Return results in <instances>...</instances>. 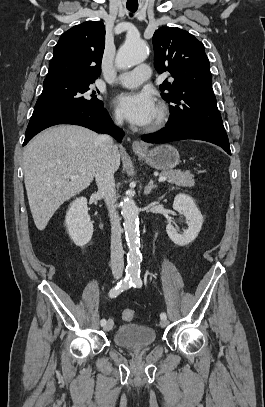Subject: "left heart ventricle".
<instances>
[{
	"label": "left heart ventricle",
	"mask_w": 265,
	"mask_h": 407,
	"mask_svg": "<svg viewBox=\"0 0 265 407\" xmlns=\"http://www.w3.org/2000/svg\"><path fill=\"white\" fill-rule=\"evenodd\" d=\"M157 110H156V113H155V115H154V117H153V119L151 120V122L149 123V124H151L155 119H156V117H157Z\"/></svg>",
	"instance_id": "left-heart-ventricle-1"
}]
</instances>
